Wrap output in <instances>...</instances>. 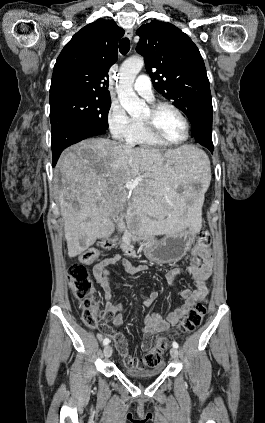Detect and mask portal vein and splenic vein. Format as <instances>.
Wrapping results in <instances>:
<instances>
[{"label": "portal vein and splenic vein", "mask_w": 265, "mask_h": 423, "mask_svg": "<svg viewBox=\"0 0 265 423\" xmlns=\"http://www.w3.org/2000/svg\"><path fill=\"white\" fill-rule=\"evenodd\" d=\"M138 185V182L137 181H130V182H127L126 184H125V188L127 189V190H133L134 188H136V186Z\"/></svg>", "instance_id": "obj_1"}]
</instances>
